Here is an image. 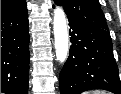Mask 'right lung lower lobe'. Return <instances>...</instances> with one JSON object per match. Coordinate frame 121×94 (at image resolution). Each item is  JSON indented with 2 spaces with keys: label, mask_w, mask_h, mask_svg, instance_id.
<instances>
[{
  "label": "right lung lower lobe",
  "mask_w": 121,
  "mask_h": 94,
  "mask_svg": "<svg viewBox=\"0 0 121 94\" xmlns=\"http://www.w3.org/2000/svg\"><path fill=\"white\" fill-rule=\"evenodd\" d=\"M27 3L1 13V92L28 94Z\"/></svg>",
  "instance_id": "right-lung-lower-lobe-1"
}]
</instances>
